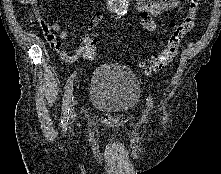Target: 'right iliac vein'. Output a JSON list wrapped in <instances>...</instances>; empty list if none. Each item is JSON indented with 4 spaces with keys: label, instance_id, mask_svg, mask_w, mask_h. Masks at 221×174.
<instances>
[{
    "label": "right iliac vein",
    "instance_id": "1",
    "mask_svg": "<svg viewBox=\"0 0 221 174\" xmlns=\"http://www.w3.org/2000/svg\"><path fill=\"white\" fill-rule=\"evenodd\" d=\"M74 104L75 103H72V106H71V120H72V122L75 120V113H74L75 107H74Z\"/></svg>",
    "mask_w": 221,
    "mask_h": 174
}]
</instances>
